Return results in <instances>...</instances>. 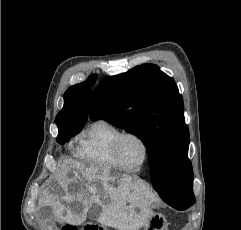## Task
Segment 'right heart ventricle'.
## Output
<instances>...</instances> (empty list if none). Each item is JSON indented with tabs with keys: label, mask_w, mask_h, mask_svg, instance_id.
I'll return each instance as SVG.
<instances>
[{
	"label": "right heart ventricle",
	"mask_w": 241,
	"mask_h": 230,
	"mask_svg": "<svg viewBox=\"0 0 241 230\" xmlns=\"http://www.w3.org/2000/svg\"><path fill=\"white\" fill-rule=\"evenodd\" d=\"M121 130L106 119H98L83 132L76 153L88 163L119 168L113 155V144Z\"/></svg>",
	"instance_id": "obj_1"
}]
</instances>
